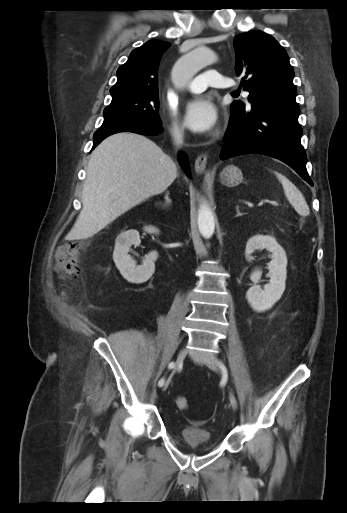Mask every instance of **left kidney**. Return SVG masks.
Instances as JSON below:
<instances>
[{
    "label": "left kidney",
    "instance_id": "obj_1",
    "mask_svg": "<svg viewBox=\"0 0 347 513\" xmlns=\"http://www.w3.org/2000/svg\"><path fill=\"white\" fill-rule=\"evenodd\" d=\"M262 249L272 252V261L268 264L270 281L261 289L257 283L261 279L262 272L255 269L250 276L254 285L246 293L248 303L257 312H264L270 309L281 298L285 290L287 278L286 252L272 236L255 235L251 237L246 244V260L252 261L251 254L255 250Z\"/></svg>",
    "mask_w": 347,
    "mask_h": 513
}]
</instances>
